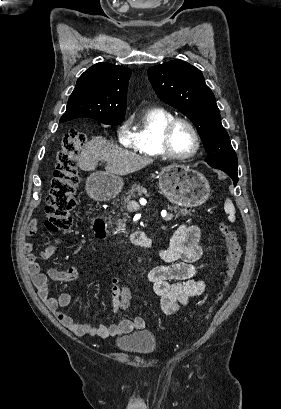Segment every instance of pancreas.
I'll list each match as a JSON object with an SVG mask.
<instances>
[{"label":"pancreas","mask_w":281,"mask_h":409,"mask_svg":"<svg viewBox=\"0 0 281 409\" xmlns=\"http://www.w3.org/2000/svg\"><path fill=\"white\" fill-rule=\"evenodd\" d=\"M132 196H149L148 192H147V188H145V186H140V184H132L131 186V190H129V192H126V196H124L123 198V207H121V211H124L126 205H128V202H130V198H132ZM168 209H170V211H174V213H176L175 216L173 217H180V213H183V215H191V211H186V209H180L179 213H177V207H168ZM124 221H127V219H123V221H118V223H116V225H118V227H125V223Z\"/></svg>","instance_id":"obj_1"}]
</instances>
